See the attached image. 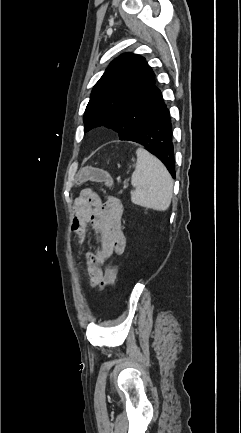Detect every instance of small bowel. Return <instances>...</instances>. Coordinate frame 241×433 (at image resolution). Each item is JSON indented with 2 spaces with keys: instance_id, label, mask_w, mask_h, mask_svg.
I'll return each mask as SVG.
<instances>
[{
  "instance_id": "c3829d8e",
  "label": "small bowel",
  "mask_w": 241,
  "mask_h": 433,
  "mask_svg": "<svg viewBox=\"0 0 241 433\" xmlns=\"http://www.w3.org/2000/svg\"><path fill=\"white\" fill-rule=\"evenodd\" d=\"M123 208L119 199L108 197L103 201L92 189L82 190L74 201L71 214V229L83 243L86 226L90 223L96 231L97 250L86 252L84 259L88 275H102V265L114 254L120 255L126 248V237L122 230Z\"/></svg>"
}]
</instances>
